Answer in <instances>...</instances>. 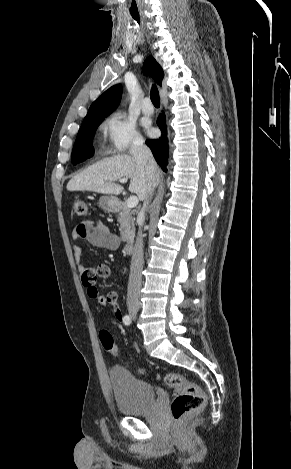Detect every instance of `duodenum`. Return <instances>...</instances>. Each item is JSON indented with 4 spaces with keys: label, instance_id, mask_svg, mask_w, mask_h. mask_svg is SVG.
<instances>
[{
    "label": "duodenum",
    "instance_id": "duodenum-1",
    "mask_svg": "<svg viewBox=\"0 0 291 469\" xmlns=\"http://www.w3.org/2000/svg\"><path fill=\"white\" fill-rule=\"evenodd\" d=\"M134 250V242L132 240L127 241L125 244V251L126 253L130 254Z\"/></svg>",
    "mask_w": 291,
    "mask_h": 469
}]
</instances>
